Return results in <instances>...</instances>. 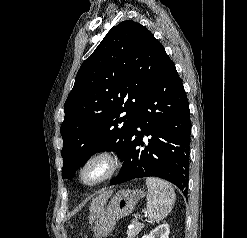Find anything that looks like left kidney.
<instances>
[{
  "instance_id": "left-kidney-1",
  "label": "left kidney",
  "mask_w": 247,
  "mask_h": 238,
  "mask_svg": "<svg viewBox=\"0 0 247 238\" xmlns=\"http://www.w3.org/2000/svg\"><path fill=\"white\" fill-rule=\"evenodd\" d=\"M169 232L168 224H162L152 230L149 234L144 235L142 238H169Z\"/></svg>"
}]
</instances>
